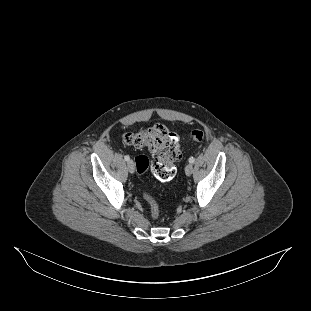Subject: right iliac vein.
I'll use <instances>...</instances> for the list:
<instances>
[{
    "label": "right iliac vein",
    "mask_w": 311,
    "mask_h": 311,
    "mask_svg": "<svg viewBox=\"0 0 311 311\" xmlns=\"http://www.w3.org/2000/svg\"><path fill=\"white\" fill-rule=\"evenodd\" d=\"M127 167L130 173H134L135 171V165L134 162L132 160H129L127 163Z\"/></svg>",
    "instance_id": "obj_1"
}]
</instances>
